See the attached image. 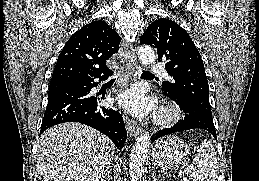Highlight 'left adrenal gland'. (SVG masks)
I'll return each mask as SVG.
<instances>
[{
    "mask_svg": "<svg viewBox=\"0 0 259 181\" xmlns=\"http://www.w3.org/2000/svg\"><path fill=\"white\" fill-rule=\"evenodd\" d=\"M152 181H157V176L155 175V170L154 169H153V172H152Z\"/></svg>",
    "mask_w": 259,
    "mask_h": 181,
    "instance_id": "a2214340",
    "label": "left adrenal gland"
}]
</instances>
